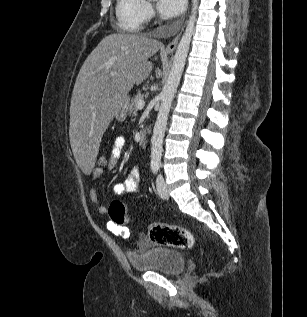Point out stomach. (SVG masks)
Masks as SVG:
<instances>
[{
  "mask_svg": "<svg viewBox=\"0 0 307 317\" xmlns=\"http://www.w3.org/2000/svg\"><path fill=\"white\" fill-rule=\"evenodd\" d=\"M129 104V99L128 97L124 100V102L122 103V105H120V107L118 108V110L116 111L114 117L116 118L117 121L119 122H123L128 114L127 111V105Z\"/></svg>",
  "mask_w": 307,
  "mask_h": 317,
  "instance_id": "stomach-1",
  "label": "stomach"
}]
</instances>
